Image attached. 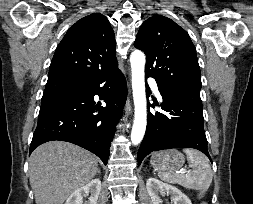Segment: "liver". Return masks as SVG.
<instances>
[{
    "instance_id": "obj_1",
    "label": "liver",
    "mask_w": 253,
    "mask_h": 204,
    "mask_svg": "<svg viewBox=\"0 0 253 204\" xmlns=\"http://www.w3.org/2000/svg\"><path fill=\"white\" fill-rule=\"evenodd\" d=\"M98 172L96 157L74 144L50 141L29 159L30 185L36 204H63Z\"/></svg>"
}]
</instances>
